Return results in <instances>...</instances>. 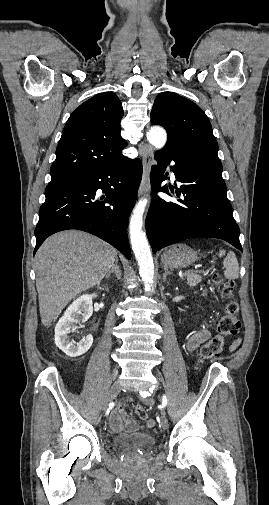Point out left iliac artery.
<instances>
[{
	"label": "left iliac artery",
	"instance_id": "left-iliac-artery-1",
	"mask_svg": "<svg viewBox=\"0 0 269 505\" xmlns=\"http://www.w3.org/2000/svg\"><path fill=\"white\" fill-rule=\"evenodd\" d=\"M166 405H167V398L166 396H163L162 407H165Z\"/></svg>",
	"mask_w": 269,
	"mask_h": 505
}]
</instances>
